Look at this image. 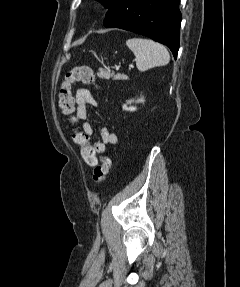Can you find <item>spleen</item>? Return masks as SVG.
<instances>
[{"label": "spleen", "mask_w": 240, "mask_h": 287, "mask_svg": "<svg viewBox=\"0 0 240 287\" xmlns=\"http://www.w3.org/2000/svg\"><path fill=\"white\" fill-rule=\"evenodd\" d=\"M127 46L136 57V66L140 71H146L153 67L167 65L170 55L167 49L151 39L130 38Z\"/></svg>", "instance_id": "obj_1"}]
</instances>
